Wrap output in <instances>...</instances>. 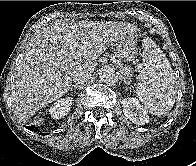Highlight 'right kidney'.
Returning a JSON list of instances; mask_svg holds the SVG:
<instances>
[{
	"mask_svg": "<svg viewBox=\"0 0 196 166\" xmlns=\"http://www.w3.org/2000/svg\"><path fill=\"white\" fill-rule=\"evenodd\" d=\"M73 98L72 97H66L60 100H57V102L52 105L48 112L51 115L53 119H60L63 118L70 110V106L72 105Z\"/></svg>",
	"mask_w": 196,
	"mask_h": 166,
	"instance_id": "ca27d5eb",
	"label": "right kidney"
}]
</instances>
